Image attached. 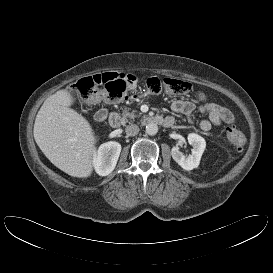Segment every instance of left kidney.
Wrapping results in <instances>:
<instances>
[{
	"label": "left kidney",
	"instance_id": "1",
	"mask_svg": "<svg viewBox=\"0 0 273 273\" xmlns=\"http://www.w3.org/2000/svg\"><path fill=\"white\" fill-rule=\"evenodd\" d=\"M188 142L193 147L191 155L185 157L178 146H174L171 149V155L174 161L184 170L190 171L199 166L202 154L206 147V142L203 137L195 133H190L188 135Z\"/></svg>",
	"mask_w": 273,
	"mask_h": 273
}]
</instances>
